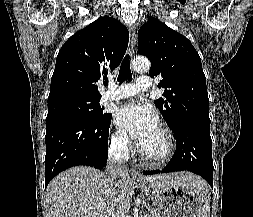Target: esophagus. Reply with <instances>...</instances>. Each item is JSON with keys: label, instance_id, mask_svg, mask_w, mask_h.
Instances as JSON below:
<instances>
[{"label": "esophagus", "instance_id": "esophagus-1", "mask_svg": "<svg viewBox=\"0 0 253 217\" xmlns=\"http://www.w3.org/2000/svg\"><path fill=\"white\" fill-rule=\"evenodd\" d=\"M129 32H130V39H129V54L133 56L134 54V48H135V43H136V29L134 25H129ZM131 175L133 179H139L140 174L136 170V168L132 167L131 168Z\"/></svg>", "mask_w": 253, "mask_h": 217}]
</instances>
